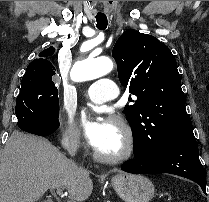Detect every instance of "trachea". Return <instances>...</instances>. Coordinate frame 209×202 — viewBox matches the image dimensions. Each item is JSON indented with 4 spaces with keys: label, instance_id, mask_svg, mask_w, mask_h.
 I'll list each match as a JSON object with an SVG mask.
<instances>
[{
    "label": "trachea",
    "instance_id": "trachea-1",
    "mask_svg": "<svg viewBox=\"0 0 209 202\" xmlns=\"http://www.w3.org/2000/svg\"><path fill=\"white\" fill-rule=\"evenodd\" d=\"M96 21H97L96 26L98 29L105 30L107 28L108 21L106 15L97 14Z\"/></svg>",
    "mask_w": 209,
    "mask_h": 202
}]
</instances>
